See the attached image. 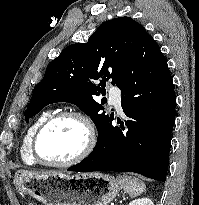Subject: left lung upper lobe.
I'll use <instances>...</instances> for the list:
<instances>
[{
	"label": "left lung upper lobe",
	"instance_id": "5c2ea615",
	"mask_svg": "<svg viewBox=\"0 0 199 205\" xmlns=\"http://www.w3.org/2000/svg\"><path fill=\"white\" fill-rule=\"evenodd\" d=\"M144 31L132 18L118 17L102 23L87 43L67 46L35 86L24 113L26 121L50 103L69 102L90 116L99 135L113 114L102 112L96 97L105 95L110 78L111 84L120 86L125 67Z\"/></svg>",
	"mask_w": 199,
	"mask_h": 205
}]
</instances>
